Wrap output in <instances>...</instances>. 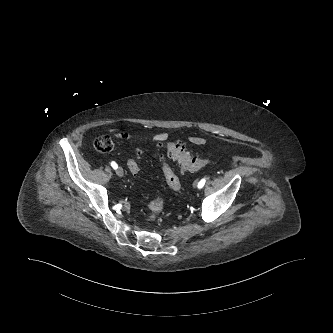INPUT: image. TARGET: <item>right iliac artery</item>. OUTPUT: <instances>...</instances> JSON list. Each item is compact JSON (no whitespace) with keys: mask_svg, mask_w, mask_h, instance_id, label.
Segmentation results:
<instances>
[{"mask_svg":"<svg viewBox=\"0 0 333 333\" xmlns=\"http://www.w3.org/2000/svg\"><path fill=\"white\" fill-rule=\"evenodd\" d=\"M111 166H112L114 169H117V167H118V165H117L114 161L111 162Z\"/></svg>","mask_w":333,"mask_h":333,"instance_id":"right-iliac-artery-1","label":"right iliac artery"}]
</instances>
